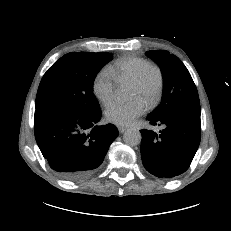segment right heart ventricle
Returning a JSON list of instances; mask_svg holds the SVG:
<instances>
[{
	"label": "right heart ventricle",
	"mask_w": 231,
	"mask_h": 231,
	"mask_svg": "<svg viewBox=\"0 0 231 231\" xmlns=\"http://www.w3.org/2000/svg\"><path fill=\"white\" fill-rule=\"evenodd\" d=\"M150 64L142 57L125 56L117 59L108 67V71L119 84H131L140 71Z\"/></svg>",
	"instance_id": "right-heart-ventricle-1"
}]
</instances>
